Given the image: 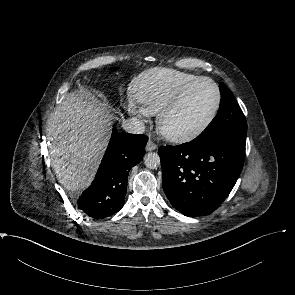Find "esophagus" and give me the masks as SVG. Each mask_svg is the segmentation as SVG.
Segmentation results:
<instances>
[{
    "label": "esophagus",
    "instance_id": "1",
    "mask_svg": "<svg viewBox=\"0 0 295 295\" xmlns=\"http://www.w3.org/2000/svg\"><path fill=\"white\" fill-rule=\"evenodd\" d=\"M157 149V144L153 142L152 140H149L147 145H146V150L147 151H154Z\"/></svg>",
    "mask_w": 295,
    "mask_h": 295
}]
</instances>
